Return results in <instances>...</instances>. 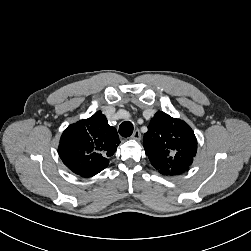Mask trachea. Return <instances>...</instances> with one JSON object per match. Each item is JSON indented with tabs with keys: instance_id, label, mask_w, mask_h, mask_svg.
<instances>
[{
	"instance_id": "3493384b",
	"label": "trachea",
	"mask_w": 251,
	"mask_h": 251,
	"mask_svg": "<svg viewBox=\"0 0 251 251\" xmlns=\"http://www.w3.org/2000/svg\"><path fill=\"white\" fill-rule=\"evenodd\" d=\"M133 124L130 121L122 122L119 126V134L122 137H130L133 133Z\"/></svg>"
}]
</instances>
